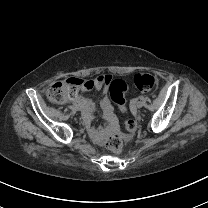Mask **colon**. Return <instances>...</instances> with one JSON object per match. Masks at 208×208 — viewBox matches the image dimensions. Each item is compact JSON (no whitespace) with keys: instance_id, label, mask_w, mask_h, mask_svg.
I'll use <instances>...</instances> for the list:
<instances>
[{"instance_id":"1","label":"colon","mask_w":208,"mask_h":208,"mask_svg":"<svg viewBox=\"0 0 208 208\" xmlns=\"http://www.w3.org/2000/svg\"><path fill=\"white\" fill-rule=\"evenodd\" d=\"M73 82H71V81ZM70 80L62 79L50 85L47 91V96L50 102L56 105L64 104L73 99L80 88L89 89L93 82L77 80L70 78ZM98 82L108 86L110 96L114 101L117 109L122 115L127 114L126 94L128 92V85L122 79H112L110 75H102L98 77ZM135 86L139 91L148 93L155 89L157 85L156 79L145 73H138L134 77ZM122 128L126 132H133L137 128V123L133 119H126L122 123ZM106 146L112 150H119L122 146V138L115 135L108 138Z\"/></svg>"}]
</instances>
